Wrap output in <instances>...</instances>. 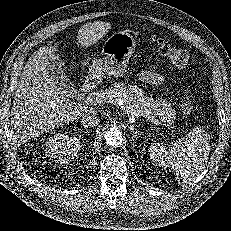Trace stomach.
<instances>
[{"mask_svg":"<svg viewBox=\"0 0 231 231\" xmlns=\"http://www.w3.org/2000/svg\"><path fill=\"white\" fill-rule=\"evenodd\" d=\"M135 46V39L126 31L109 36L102 46L103 57L90 64L88 78L101 81L106 75L115 78L123 76Z\"/></svg>","mask_w":231,"mask_h":231,"instance_id":"0dacf381","label":"stomach"}]
</instances>
